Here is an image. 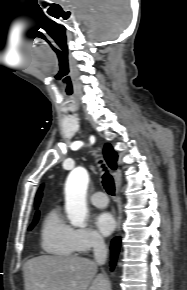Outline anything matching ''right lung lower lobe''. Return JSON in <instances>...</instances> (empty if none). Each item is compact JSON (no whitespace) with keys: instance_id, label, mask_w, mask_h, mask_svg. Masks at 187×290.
Masks as SVG:
<instances>
[{"instance_id":"obj_1","label":"right lung lower lobe","mask_w":187,"mask_h":290,"mask_svg":"<svg viewBox=\"0 0 187 290\" xmlns=\"http://www.w3.org/2000/svg\"><path fill=\"white\" fill-rule=\"evenodd\" d=\"M119 248H120V238H115L112 241V245H111V250H112V262H111V269H113L116 259H117V254L119 252Z\"/></svg>"}]
</instances>
